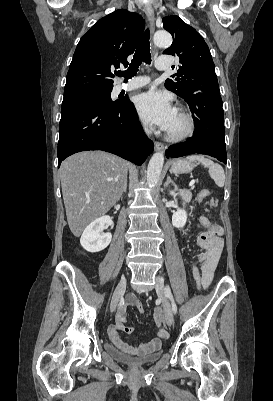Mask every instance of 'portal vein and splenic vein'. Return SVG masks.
Masks as SVG:
<instances>
[{
	"mask_svg": "<svg viewBox=\"0 0 273 401\" xmlns=\"http://www.w3.org/2000/svg\"><path fill=\"white\" fill-rule=\"evenodd\" d=\"M192 184H193V185H196V184H197V181H196V180H194V178H193V180H191V182H190V186H192Z\"/></svg>",
	"mask_w": 273,
	"mask_h": 401,
	"instance_id": "obj_1",
	"label": "portal vein and splenic vein"
}]
</instances>
